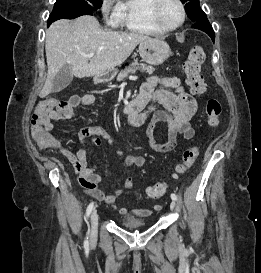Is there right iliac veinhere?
<instances>
[{
	"mask_svg": "<svg viewBox=\"0 0 261 273\" xmlns=\"http://www.w3.org/2000/svg\"><path fill=\"white\" fill-rule=\"evenodd\" d=\"M97 227H98V212L96 209H94L91 215V232H90L91 239H94L96 237Z\"/></svg>",
	"mask_w": 261,
	"mask_h": 273,
	"instance_id": "obj_1",
	"label": "right iliac vein"
}]
</instances>
